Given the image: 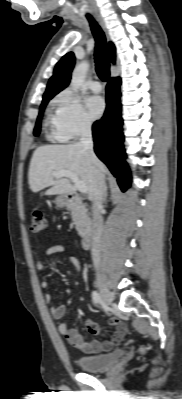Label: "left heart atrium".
Listing matches in <instances>:
<instances>
[{
	"label": "left heart atrium",
	"instance_id": "1",
	"mask_svg": "<svg viewBox=\"0 0 182 399\" xmlns=\"http://www.w3.org/2000/svg\"><path fill=\"white\" fill-rule=\"evenodd\" d=\"M86 108L90 118L98 119L104 112L105 103L100 96H90L86 99Z\"/></svg>",
	"mask_w": 182,
	"mask_h": 399
}]
</instances>
